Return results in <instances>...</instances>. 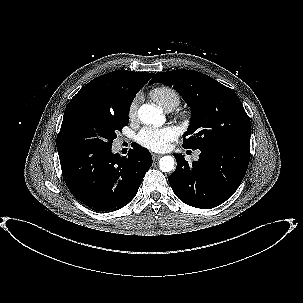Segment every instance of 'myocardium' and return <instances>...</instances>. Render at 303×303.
I'll return each instance as SVG.
<instances>
[{
	"instance_id": "f54148a6",
	"label": "myocardium",
	"mask_w": 303,
	"mask_h": 303,
	"mask_svg": "<svg viewBox=\"0 0 303 303\" xmlns=\"http://www.w3.org/2000/svg\"><path fill=\"white\" fill-rule=\"evenodd\" d=\"M181 116H182L183 118H186V117H187V115H186V114H182Z\"/></svg>"
}]
</instances>
